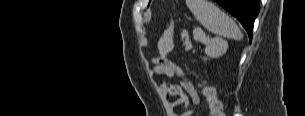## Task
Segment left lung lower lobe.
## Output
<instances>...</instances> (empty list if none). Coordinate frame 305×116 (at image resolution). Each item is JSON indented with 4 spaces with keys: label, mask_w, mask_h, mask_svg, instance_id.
Listing matches in <instances>:
<instances>
[{
    "label": "left lung lower lobe",
    "mask_w": 305,
    "mask_h": 116,
    "mask_svg": "<svg viewBox=\"0 0 305 116\" xmlns=\"http://www.w3.org/2000/svg\"><path fill=\"white\" fill-rule=\"evenodd\" d=\"M229 13L236 17L246 29L250 41L252 40L253 24L259 13V0H215Z\"/></svg>",
    "instance_id": "0a47b994"
}]
</instances>
